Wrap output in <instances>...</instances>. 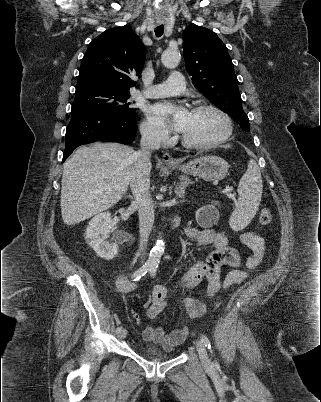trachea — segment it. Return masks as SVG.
Wrapping results in <instances>:
<instances>
[{"instance_id":"3493384b","label":"trachea","mask_w":321,"mask_h":402,"mask_svg":"<svg viewBox=\"0 0 321 402\" xmlns=\"http://www.w3.org/2000/svg\"><path fill=\"white\" fill-rule=\"evenodd\" d=\"M163 32H164V26H163V25H159V26H157V27L155 28V35H156L157 37H161L162 34H163Z\"/></svg>"}]
</instances>
